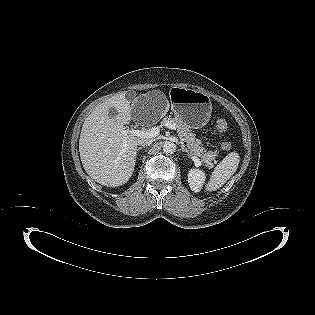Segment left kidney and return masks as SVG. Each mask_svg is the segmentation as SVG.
I'll return each instance as SVG.
<instances>
[{
  "label": "left kidney",
  "instance_id": "5707ae66",
  "mask_svg": "<svg viewBox=\"0 0 315 315\" xmlns=\"http://www.w3.org/2000/svg\"><path fill=\"white\" fill-rule=\"evenodd\" d=\"M205 181V174L199 169H191L188 174V183L192 191L199 192Z\"/></svg>",
  "mask_w": 315,
  "mask_h": 315
}]
</instances>
